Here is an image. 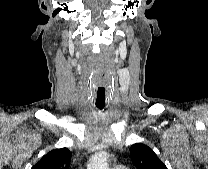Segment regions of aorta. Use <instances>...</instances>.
<instances>
[{
  "label": "aorta",
  "instance_id": "aorta-1",
  "mask_svg": "<svg viewBox=\"0 0 208 169\" xmlns=\"http://www.w3.org/2000/svg\"><path fill=\"white\" fill-rule=\"evenodd\" d=\"M87 169H109L108 153L104 150L95 153L91 157Z\"/></svg>",
  "mask_w": 208,
  "mask_h": 169
}]
</instances>
